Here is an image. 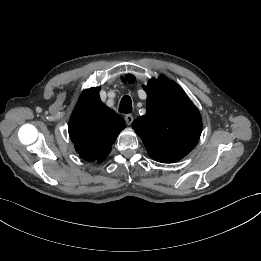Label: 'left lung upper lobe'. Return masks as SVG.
Here are the masks:
<instances>
[{"mask_svg": "<svg viewBox=\"0 0 261 261\" xmlns=\"http://www.w3.org/2000/svg\"><path fill=\"white\" fill-rule=\"evenodd\" d=\"M126 79L133 81L135 78L126 75ZM144 89L147 92L146 114L135 119L132 127L151 158L162 163L176 162L185 157L200 138L199 111L173 81L152 79Z\"/></svg>", "mask_w": 261, "mask_h": 261, "instance_id": "left-lung-upper-lobe-1", "label": "left lung upper lobe"}]
</instances>
